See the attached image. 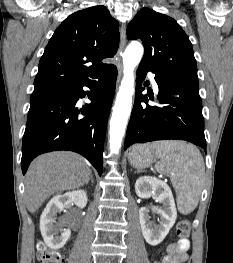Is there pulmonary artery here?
<instances>
[{"label":"pulmonary artery","mask_w":233,"mask_h":263,"mask_svg":"<svg viewBox=\"0 0 233 263\" xmlns=\"http://www.w3.org/2000/svg\"><path fill=\"white\" fill-rule=\"evenodd\" d=\"M148 77H149L150 80H151V83H152V86H153L154 91L157 92V91H158V84H157V82H156V80H155L154 74L149 73V74H148Z\"/></svg>","instance_id":"pulmonary-artery-1"}]
</instances>
